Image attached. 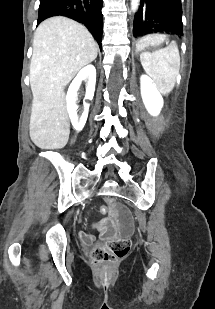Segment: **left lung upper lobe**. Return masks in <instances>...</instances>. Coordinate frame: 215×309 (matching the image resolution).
<instances>
[{"instance_id": "1", "label": "left lung upper lobe", "mask_w": 215, "mask_h": 309, "mask_svg": "<svg viewBox=\"0 0 215 309\" xmlns=\"http://www.w3.org/2000/svg\"><path fill=\"white\" fill-rule=\"evenodd\" d=\"M157 31L183 34L181 0H141L134 18V37Z\"/></svg>"}]
</instances>
